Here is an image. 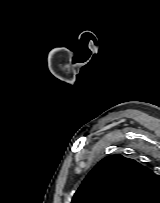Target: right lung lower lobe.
Wrapping results in <instances>:
<instances>
[{
  "label": "right lung lower lobe",
  "mask_w": 160,
  "mask_h": 203,
  "mask_svg": "<svg viewBox=\"0 0 160 203\" xmlns=\"http://www.w3.org/2000/svg\"><path fill=\"white\" fill-rule=\"evenodd\" d=\"M150 203H160V196L156 198V201Z\"/></svg>",
  "instance_id": "1"
}]
</instances>
